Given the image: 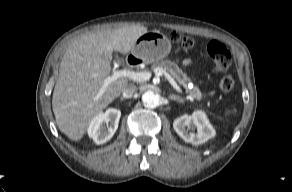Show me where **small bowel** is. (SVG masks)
Wrapping results in <instances>:
<instances>
[{
  "label": "small bowel",
  "instance_id": "small-bowel-1",
  "mask_svg": "<svg viewBox=\"0 0 292 192\" xmlns=\"http://www.w3.org/2000/svg\"><path fill=\"white\" fill-rule=\"evenodd\" d=\"M190 62L189 61H185V64H189Z\"/></svg>",
  "mask_w": 292,
  "mask_h": 192
}]
</instances>
